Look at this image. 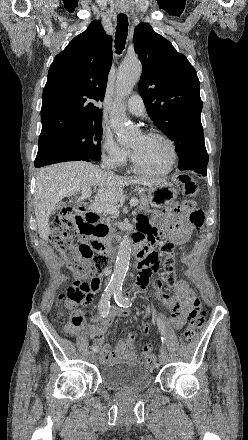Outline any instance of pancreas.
I'll use <instances>...</instances> for the list:
<instances>
[{
	"label": "pancreas",
	"mask_w": 248,
	"mask_h": 440,
	"mask_svg": "<svg viewBox=\"0 0 248 440\" xmlns=\"http://www.w3.org/2000/svg\"><path fill=\"white\" fill-rule=\"evenodd\" d=\"M139 203H140L139 208L141 210H144V211L148 210V199L146 197L140 196Z\"/></svg>",
	"instance_id": "1"
}]
</instances>
